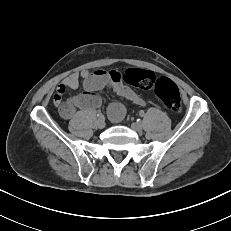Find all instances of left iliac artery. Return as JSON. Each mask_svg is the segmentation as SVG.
Segmentation results:
<instances>
[{"mask_svg": "<svg viewBox=\"0 0 231 231\" xmlns=\"http://www.w3.org/2000/svg\"><path fill=\"white\" fill-rule=\"evenodd\" d=\"M145 115L144 111H140V116L143 117Z\"/></svg>", "mask_w": 231, "mask_h": 231, "instance_id": "obj_1", "label": "left iliac artery"}]
</instances>
